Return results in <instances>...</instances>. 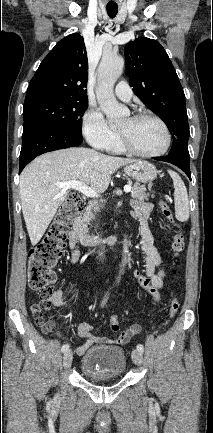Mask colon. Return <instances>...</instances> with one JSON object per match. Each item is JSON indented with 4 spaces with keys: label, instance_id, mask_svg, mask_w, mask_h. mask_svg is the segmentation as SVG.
<instances>
[{
    "label": "colon",
    "instance_id": "colon-1",
    "mask_svg": "<svg viewBox=\"0 0 213 433\" xmlns=\"http://www.w3.org/2000/svg\"><path fill=\"white\" fill-rule=\"evenodd\" d=\"M83 206L84 202L81 196L78 194L69 195L59 207L41 240L29 251L28 283L32 290L41 295V300L32 305L31 312L39 325L46 322L45 314L50 309L49 296L53 292V284L56 280L54 267L63 254L70 226ZM159 207L162 216L175 229L171 239V247L176 260L185 247L184 235L180 226L174 221L173 212L168 203L161 200ZM179 307V300L176 297L172 298L168 319L176 315ZM110 325L114 331H118L119 317L117 315L111 317ZM121 335L123 340H128L131 338L132 331L126 330Z\"/></svg>",
    "mask_w": 213,
    "mask_h": 433
}]
</instances>
